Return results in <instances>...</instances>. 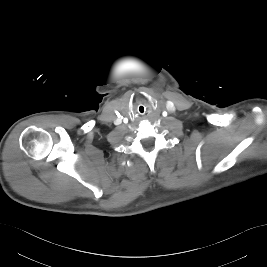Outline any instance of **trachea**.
I'll return each instance as SVG.
<instances>
[{"instance_id": "obj_1", "label": "trachea", "mask_w": 267, "mask_h": 267, "mask_svg": "<svg viewBox=\"0 0 267 267\" xmlns=\"http://www.w3.org/2000/svg\"><path fill=\"white\" fill-rule=\"evenodd\" d=\"M137 110H138V113L141 115L145 114V112H146L144 106H142V105L139 106Z\"/></svg>"}]
</instances>
